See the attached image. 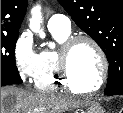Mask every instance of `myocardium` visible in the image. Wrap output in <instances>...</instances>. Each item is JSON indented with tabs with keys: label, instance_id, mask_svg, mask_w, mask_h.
<instances>
[{
	"label": "myocardium",
	"instance_id": "myocardium-1",
	"mask_svg": "<svg viewBox=\"0 0 123 113\" xmlns=\"http://www.w3.org/2000/svg\"><path fill=\"white\" fill-rule=\"evenodd\" d=\"M81 42H86L92 45L101 61V72L99 80L97 84L91 89H85L75 84L70 74L69 62L71 54L75 47ZM58 62L59 72L63 81L70 89L74 90L77 93L89 95L95 94L103 87L108 78L109 62L106 53L103 50L102 46L93 37L88 35H75L68 37L59 48Z\"/></svg>",
	"mask_w": 123,
	"mask_h": 113
}]
</instances>
